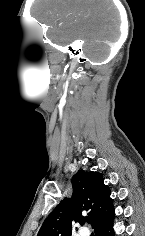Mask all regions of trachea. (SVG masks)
<instances>
[{
  "instance_id": "trachea-1",
  "label": "trachea",
  "mask_w": 145,
  "mask_h": 236,
  "mask_svg": "<svg viewBox=\"0 0 145 236\" xmlns=\"http://www.w3.org/2000/svg\"><path fill=\"white\" fill-rule=\"evenodd\" d=\"M86 222H87V223H90V222H91V219H90V218H87V219H86Z\"/></svg>"
}]
</instances>
